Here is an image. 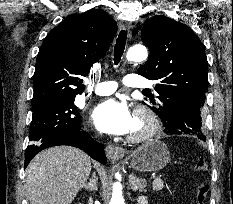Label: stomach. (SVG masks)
I'll return each mask as SVG.
<instances>
[{
  "mask_svg": "<svg viewBox=\"0 0 233 204\" xmlns=\"http://www.w3.org/2000/svg\"><path fill=\"white\" fill-rule=\"evenodd\" d=\"M169 159L167 146L161 141L152 140L132 153L130 166L138 171L154 172L163 169Z\"/></svg>",
  "mask_w": 233,
  "mask_h": 204,
  "instance_id": "1",
  "label": "stomach"
}]
</instances>
